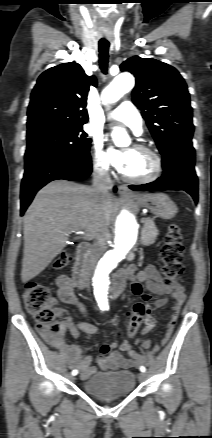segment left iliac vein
<instances>
[{"label":"left iliac vein","mask_w":212,"mask_h":438,"mask_svg":"<svg viewBox=\"0 0 212 438\" xmlns=\"http://www.w3.org/2000/svg\"><path fill=\"white\" fill-rule=\"evenodd\" d=\"M138 376L140 381H145L147 378V374L145 372H141Z\"/></svg>","instance_id":"1"}]
</instances>
